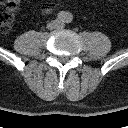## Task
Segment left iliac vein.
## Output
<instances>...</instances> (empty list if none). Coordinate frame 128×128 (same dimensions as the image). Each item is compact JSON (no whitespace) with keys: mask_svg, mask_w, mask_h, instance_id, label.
Returning <instances> with one entry per match:
<instances>
[{"mask_svg":"<svg viewBox=\"0 0 128 128\" xmlns=\"http://www.w3.org/2000/svg\"><path fill=\"white\" fill-rule=\"evenodd\" d=\"M60 27H63V23H60Z\"/></svg>","mask_w":128,"mask_h":128,"instance_id":"4c4485c4","label":"left iliac vein"}]
</instances>
